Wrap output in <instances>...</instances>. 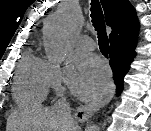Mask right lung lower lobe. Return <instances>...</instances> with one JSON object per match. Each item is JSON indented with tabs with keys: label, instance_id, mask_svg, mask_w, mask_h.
<instances>
[{
	"label": "right lung lower lobe",
	"instance_id": "1",
	"mask_svg": "<svg viewBox=\"0 0 151 131\" xmlns=\"http://www.w3.org/2000/svg\"><path fill=\"white\" fill-rule=\"evenodd\" d=\"M135 43H122L110 45L109 56L110 66L113 71V77L116 83V93L119 94L123 89V78L130 69L136 53L134 51Z\"/></svg>",
	"mask_w": 151,
	"mask_h": 131
}]
</instances>
